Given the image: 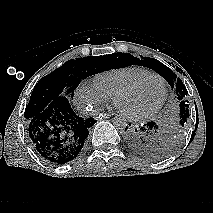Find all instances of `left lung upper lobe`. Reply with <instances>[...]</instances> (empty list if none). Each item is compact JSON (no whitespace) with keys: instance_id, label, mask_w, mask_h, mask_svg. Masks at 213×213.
Masks as SVG:
<instances>
[{"instance_id":"5c2ea615","label":"left lung upper lobe","mask_w":213,"mask_h":213,"mask_svg":"<svg viewBox=\"0 0 213 213\" xmlns=\"http://www.w3.org/2000/svg\"><path fill=\"white\" fill-rule=\"evenodd\" d=\"M119 56L123 57L124 60L122 66L137 64L153 69L169 83L172 89L175 90V101L179 104L178 124L172 129L165 131L158 144V157H166L179 147L183 131L188 122L189 101L185 99V96L188 94L187 89L182 83V80L177 78L172 70L156 59L149 57H141V59H139L133 57L129 53L120 54Z\"/></svg>"}]
</instances>
